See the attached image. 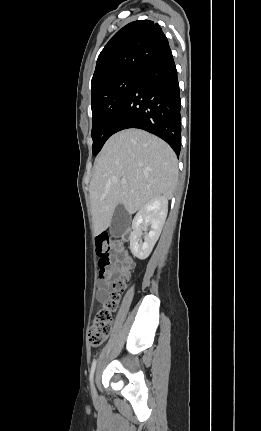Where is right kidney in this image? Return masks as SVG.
<instances>
[{"instance_id":"obj_1","label":"right kidney","mask_w":261,"mask_h":431,"mask_svg":"<svg viewBox=\"0 0 261 431\" xmlns=\"http://www.w3.org/2000/svg\"><path fill=\"white\" fill-rule=\"evenodd\" d=\"M167 212L168 199L164 196L150 200L139 210L133 219V232L130 235V249L134 256L144 260L150 255L161 234ZM148 226H150V230L142 242V230H147Z\"/></svg>"}]
</instances>
